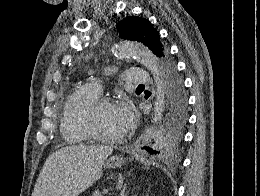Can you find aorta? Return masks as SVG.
Here are the masks:
<instances>
[{
  "label": "aorta",
  "instance_id": "1",
  "mask_svg": "<svg viewBox=\"0 0 260 196\" xmlns=\"http://www.w3.org/2000/svg\"><path fill=\"white\" fill-rule=\"evenodd\" d=\"M112 51L119 58H135L139 63L144 65L153 75L156 85V102L154 106V117L152 122L154 124H157L161 119L164 111L165 94L163 74L157 58L145 46L130 41L120 42L112 48Z\"/></svg>",
  "mask_w": 260,
  "mask_h": 196
}]
</instances>
